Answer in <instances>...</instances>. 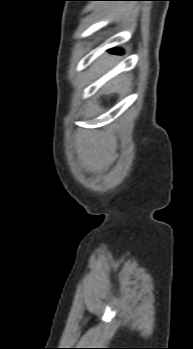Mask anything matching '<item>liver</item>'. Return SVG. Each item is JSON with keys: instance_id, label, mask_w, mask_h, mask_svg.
I'll use <instances>...</instances> for the list:
<instances>
[{"instance_id": "6515ba94", "label": "liver", "mask_w": 193, "mask_h": 349, "mask_svg": "<svg viewBox=\"0 0 193 349\" xmlns=\"http://www.w3.org/2000/svg\"><path fill=\"white\" fill-rule=\"evenodd\" d=\"M102 61H103V58H101L100 62H102Z\"/></svg>"}]
</instances>
